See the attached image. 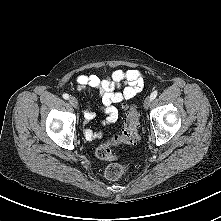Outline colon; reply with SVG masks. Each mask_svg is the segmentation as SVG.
<instances>
[{
  "label": "colon",
  "instance_id": "obj_1",
  "mask_svg": "<svg viewBox=\"0 0 221 221\" xmlns=\"http://www.w3.org/2000/svg\"><path fill=\"white\" fill-rule=\"evenodd\" d=\"M139 138V114L135 106H128L123 120V127L119 134L113 135L102 142L95 151L96 156L105 161H113L116 155L112 148L121 144H134ZM125 166L111 163L105 169V177L118 180L124 173Z\"/></svg>",
  "mask_w": 221,
  "mask_h": 221
}]
</instances>
